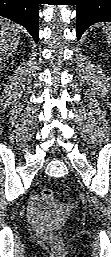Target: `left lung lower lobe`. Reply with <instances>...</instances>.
Masks as SVG:
<instances>
[{"label":"left lung lower lobe","instance_id":"obj_1","mask_svg":"<svg viewBox=\"0 0 111 257\" xmlns=\"http://www.w3.org/2000/svg\"><path fill=\"white\" fill-rule=\"evenodd\" d=\"M76 6L78 39L92 24L111 22V0H77Z\"/></svg>","mask_w":111,"mask_h":257}]
</instances>
